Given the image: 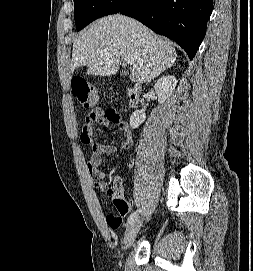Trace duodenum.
Returning <instances> with one entry per match:
<instances>
[{
	"mask_svg": "<svg viewBox=\"0 0 253 271\" xmlns=\"http://www.w3.org/2000/svg\"><path fill=\"white\" fill-rule=\"evenodd\" d=\"M141 93V85L138 83L133 84L127 90L128 103L130 107H135L138 103Z\"/></svg>",
	"mask_w": 253,
	"mask_h": 271,
	"instance_id": "duodenum-1",
	"label": "duodenum"
}]
</instances>
